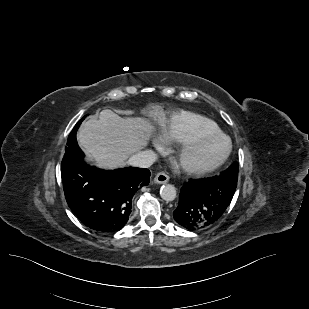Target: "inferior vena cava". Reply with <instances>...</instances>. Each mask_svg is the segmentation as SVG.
Masks as SVG:
<instances>
[{
	"label": "inferior vena cava",
	"instance_id": "inferior-vena-cava-1",
	"mask_svg": "<svg viewBox=\"0 0 309 309\" xmlns=\"http://www.w3.org/2000/svg\"><path fill=\"white\" fill-rule=\"evenodd\" d=\"M156 160V154L150 150L140 151L136 154L132 155L128 160L127 164L140 167V168H148L150 167Z\"/></svg>",
	"mask_w": 309,
	"mask_h": 309
}]
</instances>
